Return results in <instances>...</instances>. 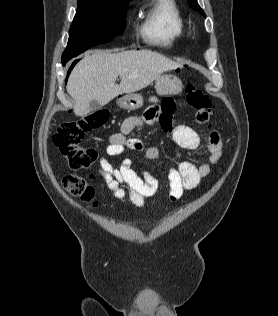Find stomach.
<instances>
[{"mask_svg": "<svg viewBox=\"0 0 278 316\" xmlns=\"http://www.w3.org/2000/svg\"><path fill=\"white\" fill-rule=\"evenodd\" d=\"M155 89L158 95H174L181 91L182 82L174 75L163 74L157 77ZM120 108L135 110L143 105V97L139 94H127L117 100Z\"/></svg>", "mask_w": 278, "mask_h": 316, "instance_id": "stomach-1", "label": "stomach"}]
</instances>
